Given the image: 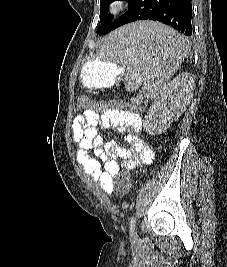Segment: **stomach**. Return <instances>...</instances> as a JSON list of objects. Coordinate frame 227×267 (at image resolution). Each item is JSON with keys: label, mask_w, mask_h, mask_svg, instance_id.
Here are the masks:
<instances>
[{"label": "stomach", "mask_w": 227, "mask_h": 267, "mask_svg": "<svg viewBox=\"0 0 227 267\" xmlns=\"http://www.w3.org/2000/svg\"><path fill=\"white\" fill-rule=\"evenodd\" d=\"M133 63H114V59L97 58L86 62L81 70L80 78L85 87L100 88L112 86L117 79L131 72Z\"/></svg>", "instance_id": "1"}]
</instances>
